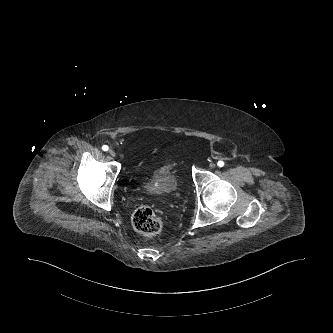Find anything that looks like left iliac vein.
<instances>
[{"mask_svg": "<svg viewBox=\"0 0 333 333\" xmlns=\"http://www.w3.org/2000/svg\"><path fill=\"white\" fill-rule=\"evenodd\" d=\"M215 166H216V165H215L214 163H211V164L209 165L210 168H215Z\"/></svg>", "mask_w": 333, "mask_h": 333, "instance_id": "1", "label": "left iliac vein"}]
</instances>
